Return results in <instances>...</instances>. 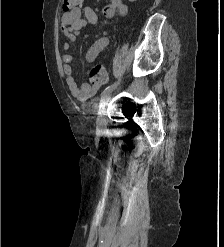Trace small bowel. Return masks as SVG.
Masks as SVG:
<instances>
[{"label": "small bowel", "mask_w": 224, "mask_h": 247, "mask_svg": "<svg viewBox=\"0 0 224 247\" xmlns=\"http://www.w3.org/2000/svg\"><path fill=\"white\" fill-rule=\"evenodd\" d=\"M104 16L107 18L124 17L128 13V7L122 0H109L103 9ZM98 25L99 20L97 14L90 7H75L74 9L64 12L61 17V29L64 34L62 42L63 51L67 52L70 45L75 41L77 35L87 25ZM109 43L106 36L100 37L87 50L85 54L86 61L94 62L104 51ZM72 55L66 53L63 56L62 70L66 76V84L71 94L79 100H87L93 96L99 89L98 83H84L78 86L72 76L71 67Z\"/></svg>", "instance_id": "small-bowel-1"}]
</instances>
